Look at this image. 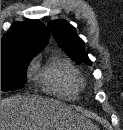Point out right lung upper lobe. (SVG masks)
<instances>
[{
	"label": "right lung upper lobe",
	"mask_w": 123,
	"mask_h": 130,
	"mask_svg": "<svg viewBox=\"0 0 123 130\" xmlns=\"http://www.w3.org/2000/svg\"><path fill=\"white\" fill-rule=\"evenodd\" d=\"M50 32L38 20L14 23L1 39V59L22 54H37L48 43Z\"/></svg>",
	"instance_id": "1"
}]
</instances>
